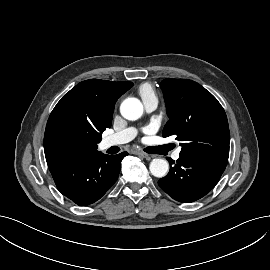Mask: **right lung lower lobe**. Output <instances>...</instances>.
<instances>
[{"instance_id":"obj_1","label":"right lung lower lobe","mask_w":270,"mask_h":270,"mask_svg":"<svg viewBox=\"0 0 270 270\" xmlns=\"http://www.w3.org/2000/svg\"><path fill=\"white\" fill-rule=\"evenodd\" d=\"M127 152L118 155L99 151L78 158L62 159L49 166L58 190L80 206L99 200L116 182L122 159Z\"/></svg>"}]
</instances>
